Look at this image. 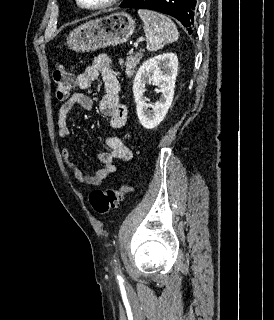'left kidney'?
Here are the masks:
<instances>
[{"instance_id":"1","label":"left kidney","mask_w":274,"mask_h":320,"mask_svg":"<svg viewBox=\"0 0 274 320\" xmlns=\"http://www.w3.org/2000/svg\"><path fill=\"white\" fill-rule=\"evenodd\" d=\"M177 70L178 58L176 54H171V52L150 58L140 66L134 78L132 90L138 120L146 130L157 128L164 120L172 104ZM146 84L158 86L159 92H161L160 100L156 102L152 110H148V98L144 96Z\"/></svg>"}]
</instances>
